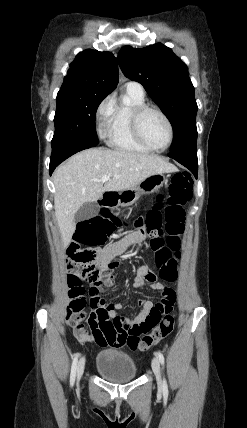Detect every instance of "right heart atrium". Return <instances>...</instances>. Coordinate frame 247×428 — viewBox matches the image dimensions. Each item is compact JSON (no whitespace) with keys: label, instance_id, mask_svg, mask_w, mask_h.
<instances>
[{"label":"right heart atrium","instance_id":"1","mask_svg":"<svg viewBox=\"0 0 247 428\" xmlns=\"http://www.w3.org/2000/svg\"><path fill=\"white\" fill-rule=\"evenodd\" d=\"M112 100L110 97L104 99L97 107L96 119L99 124V133L104 137L107 133L108 123L112 114Z\"/></svg>","mask_w":247,"mask_h":428}]
</instances>
